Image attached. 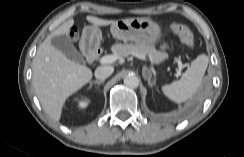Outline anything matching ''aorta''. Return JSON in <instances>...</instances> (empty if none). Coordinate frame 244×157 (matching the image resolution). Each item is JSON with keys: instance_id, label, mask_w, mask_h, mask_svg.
Masks as SVG:
<instances>
[{"instance_id": "762f6f07", "label": "aorta", "mask_w": 244, "mask_h": 157, "mask_svg": "<svg viewBox=\"0 0 244 157\" xmlns=\"http://www.w3.org/2000/svg\"><path fill=\"white\" fill-rule=\"evenodd\" d=\"M124 84L130 88H137L139 86V79L134 74H129L124 78Z\"/></svg>"}]
</instances>
